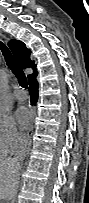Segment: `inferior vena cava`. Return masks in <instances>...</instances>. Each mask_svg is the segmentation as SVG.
<instances>
[{
  "mask_svg": "<svg viewBox=\"0 0 89 203\" xmlns=\"http://www.w3.org/2000/svg\"><path fill=\"white\" fill-rule=\"evenodd\" d=\"M28 149V140L25 136H20L18 138V151L15 155V160L20 164L25 158ZM20 167V166H19Z\"/></svg>",
  "mask_w": 89,
  "mask_h": 203,
  "instance_id": "1",
  "label": "inferior vena cava"
}]
</instances>
